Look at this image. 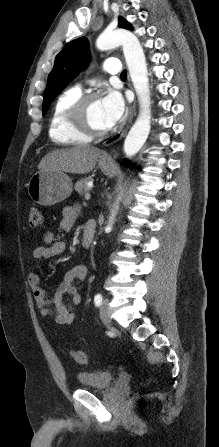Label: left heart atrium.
Masks as SVG:
<instances>
[{"label": "left heart atrium", "instance_id": "left-heart-atrium-1", "mask_svg": "<svg viewBox=\"0 0 219 447\" xmlns=\"http://www.w3.org/2000/svg\"><path fill=\"white\" fill-rule=\"evenodd\" d=\"M105 123L108 128L115 126L125 113V102L116 91H110L101 99Z\"/></svg>", "mask_w": 219, "mask_h": 447}]
</instances>
